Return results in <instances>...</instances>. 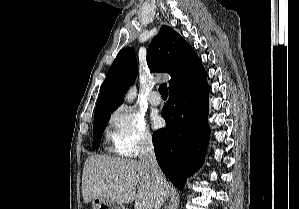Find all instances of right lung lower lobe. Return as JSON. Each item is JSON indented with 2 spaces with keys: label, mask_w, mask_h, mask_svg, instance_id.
<instances>
[{
  "label": "right lung lower lobe",
  "mask_w": 299,
  "mask_h": 209,
  "mask_svg": "<svg viewBox=\"0 0 299 209\" xmlns=\"http://www.w3.org/2000/svg\"><path fill=\"white\" fill-rule=\"evenodd\" d=\"M204 73L184 86L169 90V100L162 109L166 128L153 134L155 155L167 178L182 189L187 177L198 169L205 151L198 147L209 138V86Z\"/></svg>",
  "instance_id": "obj_1"
}]
</instances>
